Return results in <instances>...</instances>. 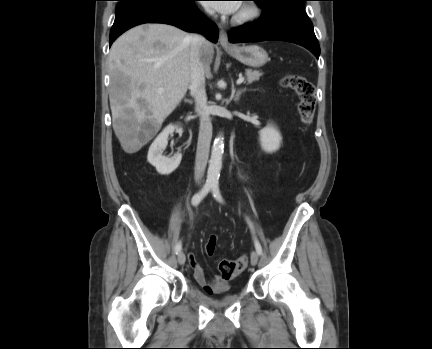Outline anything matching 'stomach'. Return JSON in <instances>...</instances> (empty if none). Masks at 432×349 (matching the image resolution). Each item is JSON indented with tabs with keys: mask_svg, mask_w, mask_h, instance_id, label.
Instances as JSON below:
<instances>
[{
	"mask_svg": "<svg viewBox=\"0 0 432 349\" xmlns=\"http://www.w3.org/2000/svg\"><path fill=\"white\" fill-rule=\"evenodd\" d=\"M225 50L231 57L249 67L258 68L268 61L267 52L258 45L235 46Z\"/></svg>",
	"mask_w": 432,
	"mask_h": 349,
	"instance_id": "1",
	"label": "stomach"
}]
</instances>
